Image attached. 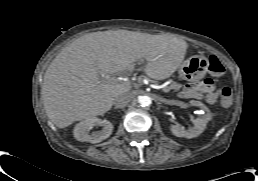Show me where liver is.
Instances as JSON below:
<instances>
[{
    "label": "liver",
    "mask_w": 258,
    "mask_h": 181,
    "mask_svg": "<svg viewBox=\"0 0 258 181\" xmlns=\"http://www.w3.org/2000/svg\"><path fill=\"white\" fill-rule=\"evenodd\" d=\"M186 49L185 41L170 35L128 30L84 35L47 68L41 90L45 112L58 128L102 115L117 96L131 90L130 82H110V76L131 72L145 61V74L164 80L179 68Z\"/></svg>",
    "instance_id": "obj_1"
}]
</instances>
